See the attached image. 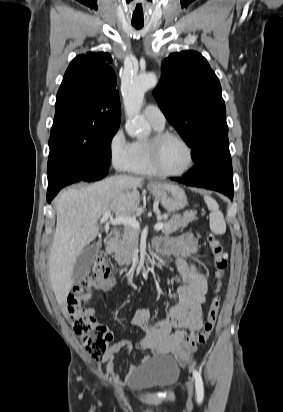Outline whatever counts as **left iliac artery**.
I'll use <instances>...</instances> for the list:
<instances>
[{
    "label": "left iliac artery",
    "instance_id": "44dca946",
    "mask_svg": "<svg viewBox=\"0 0 283 412\" xmlns=\"http://www.w3.org/2000/svg\"><path fill=\"white\" fill-rule=\"evenodd\" d=\"M193 376L195 379L197 399L201 401L203 400V397H204V386H203L202 377H201V374L196 369H193Z\"/></svg>",
    "mask_w": 283,
    "mask_h": 412
}]
</instances>
